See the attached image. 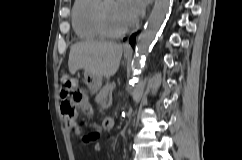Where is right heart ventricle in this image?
<instances>
[{
	"label": "right heart ventricle",
	"instance_id": "right-heart-ventricle-1",
	"mask_svg": "<svg viewBox=\"0 0 242 160\" xmlns=\"http://www.w3.org/2000/svg\"><path fill=\"white\" fill-rule=\"evenodd\" d=\"M99 0H75L71 12L72 26L83 40L101 39L103 36L94 22V9Z\"/></svg>",
	"mask_w": 242,
	"mask_h": 160
}]
</instances>
